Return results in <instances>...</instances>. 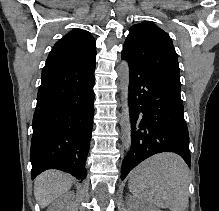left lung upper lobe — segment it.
Instances as JSON below:
<instances>
[{
    "instance_id": "1",
    "label": "left lung upper lobe",
    "mask_w": 219,
    "mask_h": 211,
    "mask_svg": "<svg viewBox=\"0 0 219 211\" xmlns=\"http://www.w3.org/2000/svg\"><path fill=\"white\" fill-rule=\"evenodd\" d=\"M122 54L181 88L177 53L169 35L150 22L133 25Z\"/></svg>"
}]
</instances>
